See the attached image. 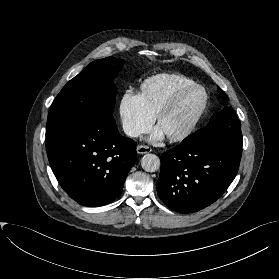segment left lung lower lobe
I'll return each instance as SVG.
<instances>
[{"label":"left lung lower lobe","mask_w":279,"mask_h":279,"mask_svg":"<svg viewBox=\"0 0 279 279\" xmlns=\"http://www.w3.org/2000/svg\"><path fill=\"white\" fill-rule=\"evenodd\" d=\"M241 154L242 147L223 142H182L161 156L159 198L180 213L204 209L234 180Z\"/></svg>","instance_id":"obj_1"}]
</instances>
